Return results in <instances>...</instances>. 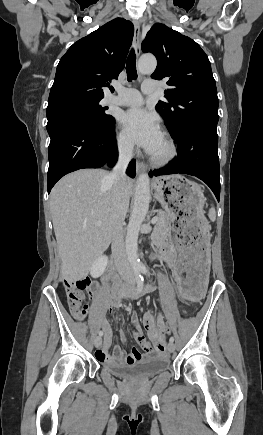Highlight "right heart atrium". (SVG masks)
Returning a JSON list of instances; mask_svg holds the SVG:
<instances>
[{
	"instance_id": "right-heart-atrium-1",
	"label": "right heart atrium",
	"mask_w": 263,
	"mask_h": 435,
	"mask_svg": "<svg viewBox=\"0 0 263 435\" xmlns=\"http://www.w3.org/2000/svg\"><path fill=\"white\" fill-rule=\"evenodd\" d=\"M115 143L120 155L130 157L133 154L134 146L121 130L117 129L115 132Z\"/></svg>"
}]
</instances>
